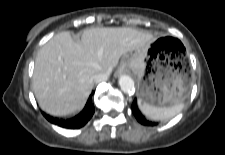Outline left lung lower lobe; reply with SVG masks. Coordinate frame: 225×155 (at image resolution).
Masks as SVG:
<instances>
[{"mask_svg": "<svg viewBox=\"0 0 225 155\" xmlns=\"http://www.w3.org/2000/svg\"><path fill=\"white\" fill-rule=\"evenodd\" d=\"M132 111H133V114L135 115L136 119L141 124L146 125V126H155L158 124L156 122L148 121L145 119V117L141 114V112L139 111V109L137 107L136 99L132 103Z\"/></svg>", "mask_w": 225, "mask_h": 155, "instance_id": "left-lung-lower-lobe-1", "label": "left lung lower lobe"}]
</instances>
